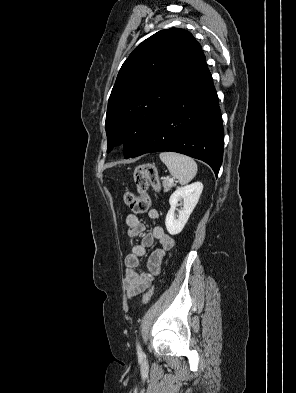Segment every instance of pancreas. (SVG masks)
<instances>
[{"label": "pancreas", "instance_id": "1", "mask_svg": "<svg viewBox=\"0 0 296 393\" xmlns=\"http://www.w3.org/2000/svg\"><path fill=\"white\" fill-rule=\"evenodd\" d=\"M162 184L164 191H169L174 186V183L169 182L167 178H162Z\"/></svg>", "mask_w": 296, "mask_h": 393}]
</instances>
